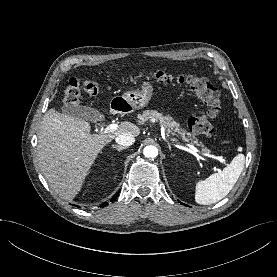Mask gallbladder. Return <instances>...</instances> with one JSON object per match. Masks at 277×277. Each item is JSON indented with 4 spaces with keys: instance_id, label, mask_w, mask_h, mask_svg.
<instances>
[{
    "instance_id": "obj_1",
    "label": "gallbladder",
    "mask_w": 277,
    "mask_h": 277,
    "mask_svg": "<svg viewBox=\"0 0 277 277\" xmlns=\"http://www.w3.org/2000/svg\"><path fill=\"white\" fill-rule=\"evenodd\" d=\"M61 110L68 116L93 122L99 121L102 118L96 109L78 104H65L61 107Z\"/></svg>"
}]
</instances>
